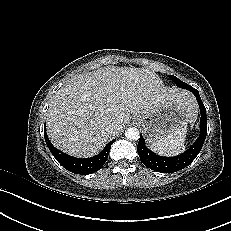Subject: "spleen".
I'll return each mask as SVG.
<instances>
[{"mask_svg": "<svg viewBox=\"0 0 231 231\" xmlns=\"http://www.w3.org/2000/svg\"><path fill=\"white\" fill-rule=\"evenodd\" d=\"M187 128L183 127L150 144L153 152L163 156H176L184 152Z\"/></svg>", "mask_w": 231, "mask_h": 231, "instance_id": "3e777b00", "label": "spleen"}]
</instances>
